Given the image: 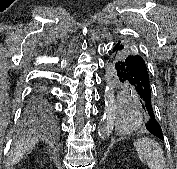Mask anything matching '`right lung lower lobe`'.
I'll return each mask as SVG.
<instances>
[{
	"label": "right lung lower lobe",
	"instance_id": "right-lung-lower-lobe-1",
	"mask_svg": "<svg viewBox=\"0 0 177 169\" xmlns=\"http://www.w3.org/2000/svg\"><path fill=\"white\" fill-rule=\"evenodd\" d=\"M53 114L52 108L42 88L34 92L26 108V116L33 120L50 118Z\"/></svg>",
	"mask_w": 177,
	"mask_h": 169
}]
</instances>
